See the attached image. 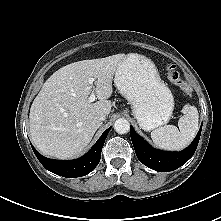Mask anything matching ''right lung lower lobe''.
Segmentation results:
<instances>
[{
    "mask_svg": "<svg viewBox=\"0 0 221 221\" xmlns=\"http://www.w3.org/2000/svg\"><path fill=\"white\" fill-rule=\"evenodd\" d=\"M110 129L111 127L103 132L88 153L75 160L64 161L49 159L40 155L35 148L31 146L40 163L48 171L66 178L81 177L90 173L98 165L101 158V151Z\"/></svg>",
    "mask_w": 221,
    "mask_h": 221,
    "instance_id": "98d812e1",
    "label": "right lung lower lobe"
}]
</instances>
